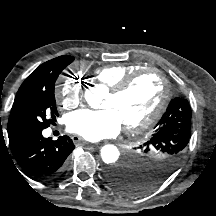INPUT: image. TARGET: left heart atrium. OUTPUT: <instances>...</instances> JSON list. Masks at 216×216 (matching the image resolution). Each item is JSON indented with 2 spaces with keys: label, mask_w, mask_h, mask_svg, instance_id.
<instances>
[{
  "label": "left heart atrium",
  "mask_w": 216,
  "mask_h": 216,
  "mask_svg": "<svg viewBox=\"0 0 216 216\" xmlns=\"http://www.w3.org/2000/svg\"><path fill=\"white\" fill-rule=\"evenodd\" d=\"M122 121L112 108L81 109L66 118L67 130L89 141H98L117 135Z\"/></svg>",
  "instance_id": "1"
}]
</instances>
